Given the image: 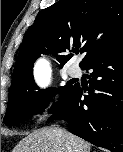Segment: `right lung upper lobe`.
<instances>
[{
	"mask_svg": "<svg viewBox=\"0 0 123 152\" xmlns=\"http://www.w3.org/2000/svg\"><path fill=\"white\" fill-rule=\"evenodd\" d=\"M123 38V0H59L43 9L27 30L18 54L10 94L34 81L32 68L41 54L56 53L61 67L82 47L83 68L97 53ZM9 94V95H10Z\"/></svg>",
	"mask_w": 123,
	"mask_h": 152,
	"instance_id": "1",
	"label": "right lung upper lobe"
}]
</instances>
